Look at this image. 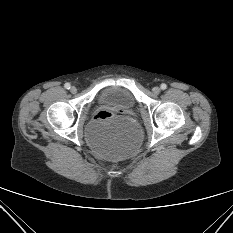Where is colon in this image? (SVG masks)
Returning <instances> with one entry per match:
<instances>
[{"label":"colon","instance_id":"colon-1","mask_svg":"<svg viewBox=\"0 0 233 233\" xmlns=\"http://www.w3.org/2000/svg\"><path fill=\"white\" fill-rule=\"evenodd\" d=\"M111 117L112 114L109 111H100L95 118L100 121H106L109 120Z\"/></svg>","mask_w":233,"mask_h":233}]
</instances>
